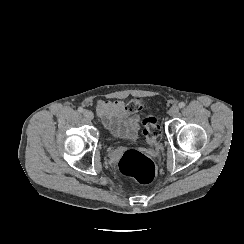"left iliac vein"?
Segmentation results:
<instances>
[{
	"label": "left iliac vein",
	"instance_id": "1",
	"mask_svg": "<svg viewBox=\"0 0 244 244\" xmlns=\"http://www.w3.org/2000/svg\"><path fill=\"white\" fill-rule=\"evenodd\" d=\"M179 113V108L177 106H173L169 109L170 116H176Z\"/></svg>",
	"mask_w": 244,
	"mask_h": 244
}]
</instances>
